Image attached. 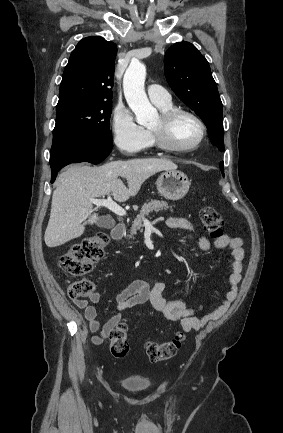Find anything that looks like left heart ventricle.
<instances>
[{"mask_svg":"<svg viewBox=\"0 0 283 433\" xmlns=\"http://www.w3.org/2000/svg\"><path fill=\"white\" fill-rule=\"evenodd\" d=\"M158 120L151 126V128L157 126ZM199 135L200 127L192 117L181 115L176 119L172 130V139L179 147L190 145L199 137Z\"/></svg>","mask_w":283,"mask_h":433,"instance_id":"1","label":"left heart ventricle"}]
</instances>
